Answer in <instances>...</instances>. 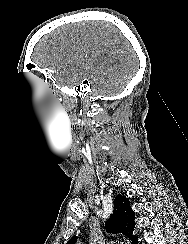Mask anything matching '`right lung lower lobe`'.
I'll return each instance as SVG.
<instances>
[{
  "label": "right lung lower lobe",
  "instance_id": "98d812e1",
  "mask_svg": "<svg viewBox=\"0 0 188 244\" xmlns=\"http://www.w3.org/2000/svg\"><path fill=\"white\" fill-rule=\"evenodd\" d=\"M138 239V238H137ZM137 239L134 241V243L133 244H137L138 242H137Z\"/></svg>",
  "mask_w": 188,
  "mask_h": 244
}]
</instances>
